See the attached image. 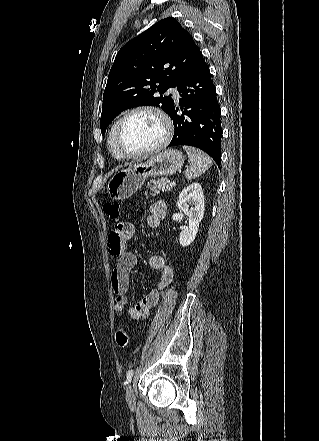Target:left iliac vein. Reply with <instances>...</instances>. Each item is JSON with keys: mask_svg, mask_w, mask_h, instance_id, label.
Returning a JSON list of instances; mask_svg holds the SVG:
<instances>
[{"mask_svg": "<svg viewBox=\"0 0 319 441\" xmlns=\"http://www.w3.org/2000/svg\"><path fill=\"white\" fill-rule=\"evenodd\" d=\"M126 401L130 409L134 410L136 407L135 394L132 385H128L126 390Z\"/></svg>", "mask_w": 319, "mask_h": 441, "instance_id": "4c4485c4", "label": "left iliac vein"}]
</instances>
